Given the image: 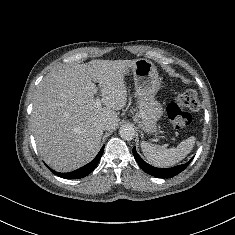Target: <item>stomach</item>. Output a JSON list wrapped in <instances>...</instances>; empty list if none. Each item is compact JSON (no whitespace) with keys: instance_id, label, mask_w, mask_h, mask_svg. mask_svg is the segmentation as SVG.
Returning a JSON list of instances; mask_svg holds the SVG:
<instances>
[{"instance_id":"1","label":"stomach","mask_w":235,"mask_h":235,"mask_svg":"<svg viewBox=\"0 0 235 235\" xmlns=\"http://www.w3.org/2000/svg\"><path fill=\"white\" fill-rule=\"evenodd\" d=\"M133 73L135 90L138 96L139 125L143 131L154 133L156 122L163 114L161 104L155 99L160 89V80L154 64L147 59H137L128 69Z\"/></svg>"}]
</instances>
